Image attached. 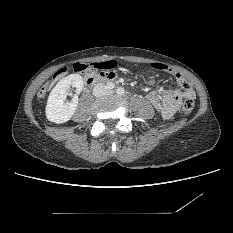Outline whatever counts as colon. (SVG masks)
<instances>
[{"label": "colon", "mask_w": 233, "mask_h": 233, "mask_svg": "<svg viewBox=\"0 0 233 233\" xmlns=\"http://www.w3.org/2000/svg\"><path fill=\"white\" fill-rule=\"evenodd\" d=\"M151 66L153 69H155L157 71H161V72H170L171 71L170 67L163 62H154L151 64ZM72 71H74L78 74L85 75V76H88L90 74L89 65L87 63H83V62L75 63L74 66L72 67ZM68 73H69V71L66 68L59 70L54 75V78H53L54 83L65 78ZM178 86L180 89H182L186 92V96L182 102V112H183L184 116H188L193 108V105H194V100L190 95L191 86H190L189 82L186 80H181L178 83ZM46 93H47V87H42L40 89V91L38 92V97L43 98L46 95Z\"/></svg>", "instance_id": "colon-1"}]
</instances>
